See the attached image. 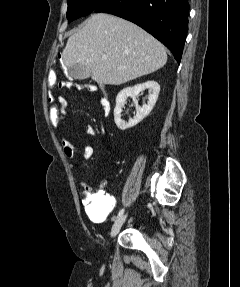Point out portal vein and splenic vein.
Listing matches in <instances>:
<instances>
[{
  "label": "portal vein and splenic vein",
  "mask_w": 240,
  "mask_h": 287,
  "mask_svg": "<svg viewBox=\"0 0 240 287\" xmlns=\"http://www.w3.org/2000/svg\"><path fill=\"white\" fill-rule=\"evenodd\" d=\"M102 58H103L104 60H107V59H108V56H107V55H103Z\"/></svg>",
  "instance_id": "obj_1"
}]
</instances>
